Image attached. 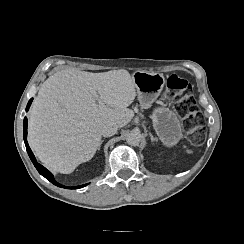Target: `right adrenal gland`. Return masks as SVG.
<instances>
[{
	"instance_id": "obj_1",
	"label": "right adrenal gland",
	"mask_w": 244,
	"mask_h": 244,
	"mask_svg": "<svg viewBox=\"0 0 244 244\" xmlns=\"http://www.w3.org/2000/svg\"><path fill=\"white\" fill-rule=\"evenodd\" d=\"M104 142V140H101L100 141V145H99V147H98V150H100V148H101V144Z\"/></svg>"
}]
</instances>
